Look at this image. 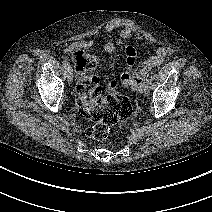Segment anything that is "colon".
Listing matches in <instances>:
<instances>
[{
	"label": "colon",
	"instance_id": "1",
	"mask_svg": "<svg viewBox=\"0 0 212 212\" xmlns=\"http://www.w3.org/2000/svg\"><path fill=\"white\" fill-rule=\"evenodd\" d=\"M73 63L77 78L79 114L92 122L86 134L97 141L105 140L131 116L132 105L126 96L115 89L117 81L112 82L108 92H102L96 75L98 66L96 56L76 51L73 55ZM120 83L133 87L139 85L141 80L135 75L124 74L121 76Z\"/></svg>",
	"mask_w": 212,
	"mask_h": 212
}]
</instances>
